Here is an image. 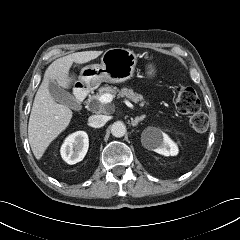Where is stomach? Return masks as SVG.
I'll return each mask as SVG.
<instances>
[{
  "instance_id": "stomach-1",
  "label": "stomach",
  "mask_w": 240,
  "mask_h": 240,
  "mask_svg": "<svg viewBox=\"0 0 240 240\" xmlns=\"http://www.w3.org/2000/svg\"><path fill=\"white\" fill-rule=\"evenodd\" d=\"M137 64V55L124 48L106 50L100 64H91L82 68L79 82L89 90L96 89L102 82L120 83L133 76ZM157 68L154 64L146 67V73L154 76Z\"/></svg>"
}]
</instances>
